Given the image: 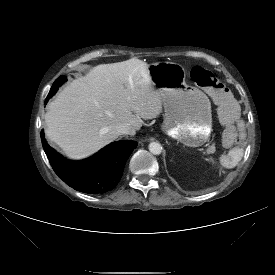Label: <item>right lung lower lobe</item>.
<instances>
[{
	"mask_svg": "<svg viewBox=\"0 0 275 275\" xmlns=\"http://www.w3.org/2000/svg\"><path fill=\"white\" fill-rule=\"evenodd\" d=\"M43 149L55 173L73 189L99 194L112 190L119 182L125 163L137 147L134 141H118L81 162L68 161L48 145L41 132Z\"/></svg>",
	"mask_w": 275,
	"mask_h": 275,
	"instance_id": "right-lung-lower-lobe-1",
	"label": "right lung lower lobe"
}]
</instances>
